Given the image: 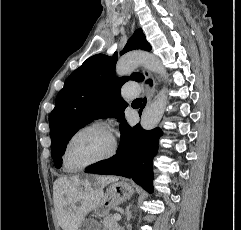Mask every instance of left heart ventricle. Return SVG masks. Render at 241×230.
Returning a JSON list of instances; mask_svg holds the SVG:
<instances>
[{
  "label": "left heart ventricle",
  "instance_id": "left-heart-ventricle-1",
  "mask_svg": "<svg viewBox=\"0 0 241 230\" xmlns=\"http://www.w3.org/2000/svg\"><path fill=\"white\" fill-rule=\"evenodd\" d=\"M111 146L112 138L105 130H85L71 142L67 159L72 167H77L104 156L110 151Z\"/></svg>",
  "mask_w": 241,
  "mask_h": 230
}]
</instances>
